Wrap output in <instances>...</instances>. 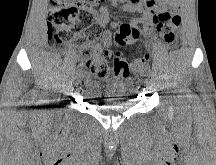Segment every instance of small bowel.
I'll list each match as a JSON object with an SVG mask.
<instances>
[{"mask_svg":"<svg viewBox=\"0 0 216 165\" xmlns=\"http://www.w3.org/2000/svg\"><path fill=\"white\" fill-rule=\"evenodd\" d=\"M180 0H112L113 5L122 4L125 12H140L142 18H136L132 21V27L138 32V36L131 39L129 44L135 42L141 34L148 33L155 17L167 10H173L178 7ZM95 21L102 27L111 23L107 7H101L98 11L92 10ZM112 44V32L105 30L102 35L101 43L95 45L96 51L108 48ZM123 77H128L129 73H119Z\"/></svg>","mask_w":216,"mask_h":165,"instance_id":"small-bowel-1","label":"small bowel"}]
</instances>
